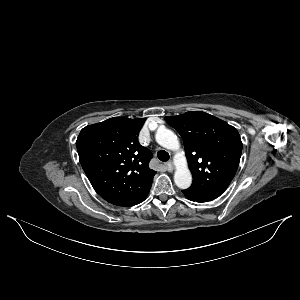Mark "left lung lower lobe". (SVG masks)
I'll return each mask as SVG.
<instances>
[{
    "mask_svg": "<svg viewBox=\"0 0 300 300\" xmlns=\"http://www.w3.org/2000/svg\"><path fill=\"white\" fill-rule=\"evenodd\" d=\"M182 192L186 196V198L195 202H208L220 196V194L201 192L190 187L183 190Z\"/></svg>",
    "mask_w": 300,
    "mask_h": 300,
    "instance_id": "left-lung-lower-lobe-1",
    "label": "left lung lower lobe"
}]
</instances>
